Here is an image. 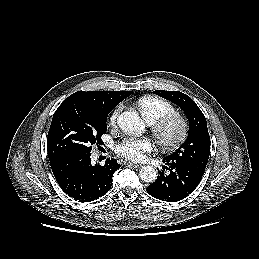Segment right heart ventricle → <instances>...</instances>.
Here are the masks:
<instances>
[{
  "instance_id": "obj_1",
  "label": "right heart ventricle",
  "mask_w": 259,
  "mask_h": 259,
  "mask_svg": "<svg viewBox=\"0 0 259 259\" xmlns=\"http://www.w3.org/2000/svg\"><path fill=\"white\" fill-rule=\"evenodd\" d=\"M137 107L148 124H153L161 116L175 112L174 106L158 96H143L137 100Z\"/></svg>"
}]
</instances>
